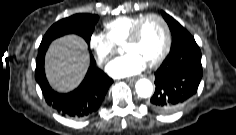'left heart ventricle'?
Masks as SVG:
<instances>
[{"mask_svg": "<svg viewBox=\"0 0 236 135\" xmlns=\"http://www.w3.org/2000/svg\"><path fill=\"white\" fill-rule=\"evenodd\" d=\"M164 43L165 32L161 22L156 18H148L141 27L137 41L123 50L138 55L147 64L158 58Z\"/></svg>", "mask_w": 236, "mask_h": 135, "instance_id": "1", "label": "left heart ventricle"}]
</instances>
